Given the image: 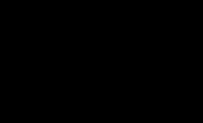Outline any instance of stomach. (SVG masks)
<instances>
[{
	"label": "stomach",
	"instance_id": "1",
	"mask_svg": "<svg viewBox=\"0 0 203 123\" xmlns=\"http://www.w3.org/2000/svg\"><path fill=\"white\" fill-rule=\"evenodd\" d=\"M118 22H112V24H109L108 26H106V31H110L111 29H113V27H115V25H117Z\"/></svg>",
	"mask_w": 203,
	"mask_h": 123
}]
</instances>
